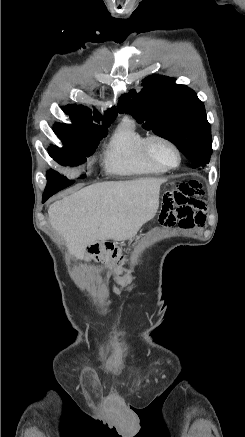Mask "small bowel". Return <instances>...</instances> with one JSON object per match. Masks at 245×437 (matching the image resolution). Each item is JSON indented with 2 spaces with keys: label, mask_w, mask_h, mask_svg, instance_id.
I'll return each instance as SVG.
<instances>
[{
  "label": "small bowel",
  "mask_w": 245,
  "mask_h": 437,
  "mask_svg": "<svg viewBox=\"0 0 245 437\" xmlns=\"http://www.w3.org/2000/svg\"><path fill=\"white\" fill-rule=\"evenodd\" d=\"M200 188L199 182L194 179L177 183V191L170 192L162 201L163 208L158 210V224H164L167 229H175L178 223L179 227L186 230L203 226L206 207L204 201L196 196Z\"/></svg>",
  "instance_id": "c3829d8e"
}]
</instances>
